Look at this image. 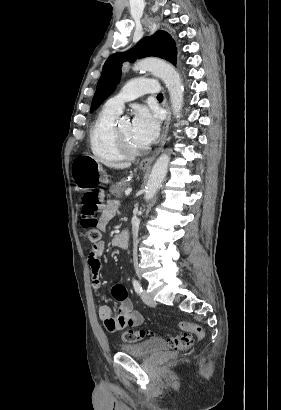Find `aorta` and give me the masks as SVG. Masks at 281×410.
Returning a JSON list of instances; mask_svg holds the SVG:
<instances>
[{
	"label": "aorta",
	"mask_w": 281,
	"mask_h": 410,
	"mask_svg": "<svg viewBox=\"0 0 281 410\" xmlns=\"http://www.w3.org/2000/svg\"><path fill=\"white\" fill-rule=\"evenodd\" d=\"M133 69L136 71H150L154 75L162 79L170 94L173 113L176 117H179L183 107L184 89L181 78L174 67L158 59H143L137 62L134 65ZM169 162V154L163 153L153 165L146 185L144 196L146 201L151 200L155 196L157 190L160 188L167 174Z\"/></svg>",
	"instance_id": "762f6f07"
}]
</instances>
